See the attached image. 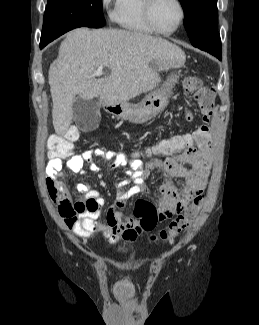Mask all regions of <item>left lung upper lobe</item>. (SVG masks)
<instances>
[{
    "label": "left lung upper lobe",
    "instance_id": "obj_1",
    "mask_svg": "<svg viewBox=\"0 0 259 325\" xmlns=\"http://www.w3.org/2000/svg\"><path fill=\"white\" fill-rule=\"evenodd\" d=\"M184 13V27L193 46L221 59V39L217 32V0H179Z\"/></svg>",
    "mask_w": 259,
    "mask_h": 325
}]
</instances>
